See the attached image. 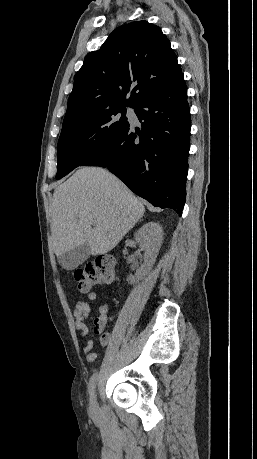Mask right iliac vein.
<instances>
[{
	"label": "right iliac vein",
	"mask_w": 257,
	"mask_h": 459,
	"mask_svg": "<svg viewBox=\"0 0 257 459\" xmlns=\"http://www.w3.org/2000/svg\"><path fill=\"white\" fill-rule=\"evenodd\" d=\"M90 407L92 409H94L96 407V396H95V392L93 391V393L91 394V397H90Z\"/></svg>",
	"instance_id": "obj_1"
}]
</instances>
